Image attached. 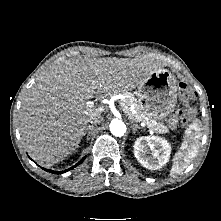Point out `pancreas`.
<instances>
[{"instance_id": "cf45deb5", "label": "pancreas", "mask_w": 221, "mask_h": 221, "mask_svg": "<svg viewBox=\"0 0 221 221\" xmlns=\"http://www.w3.org/2000/svg\"><path fill=\"white\" fill-rule=\"evenodd\" d=\"M125 105H133L134 110L129 109L127 115L136 122H144L148 128L154 130L160 134H166L169 132L168 128L161 122H157L151 117L146 116L140 109L136 98L132 94H127L126 99L122 101Z\"/></svg>"}]
</instances>
